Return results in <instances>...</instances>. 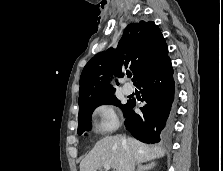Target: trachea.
<instances>
[{"label":"trachea","instance_id":"trachea-1","mask_svg":"<svg viewBox=\"0 0 223 171\" xmlns=\"http://www.w3.org/2000/svg\"><path fill=\"white\" fill-rule=\"evenodd\" d=\"M127 76L128 77H132V74L129 72V73H127Z\"/></svg>","mask_w":223,"mask_h":171}]
</instances>
